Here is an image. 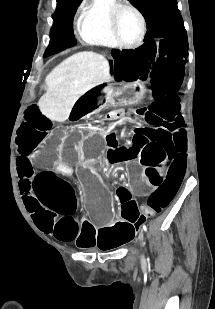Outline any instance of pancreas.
Masks as SVG:
<instances>
[{
  "label": "pancreas",
  "mask_w": 215,
  "mask_h": 309,
  "mask_svg": "<svg viewBox=\"0 0 215 309\" xmlns=\"http://www.w3.org/2000/svg\"><path fill=\"white\" fill-rule=\"evenodd\" d=\"M105 92H107L105 98H109L110 102H115L114 98H113V92L112 90H105Z\"/></svg>",
  "instance_id": "cf45deb5"
}]
</instances>
